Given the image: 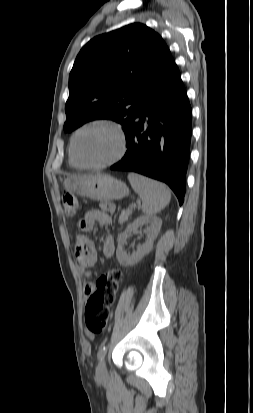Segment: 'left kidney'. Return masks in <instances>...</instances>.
Listing matches in <instances>:
<instances>
[{
  "label": "left kidney",
  "instance_id": "5707ae66",
  "mask_svg": "<svg viewBox=\"0 0 253 413\" xmlns=\"http://www.w3.org/2000/svg\"><path fill=\"white\" fill-rule=\"evenodd\" d=\"M146 225V242L137 248V251L130 254L124 250V244L127 237L133 230ZM162 220L156 216H141L137 218L133 223L129 224L126 230L118 235V247L116 251V256L121 265L129 266L138 263L144 255L148 254L153 247V242L157 238L158 233L161 229Z\"/></svg>",
  "mask_w": 253,
  "mask_h": 413
}]
</instances>
